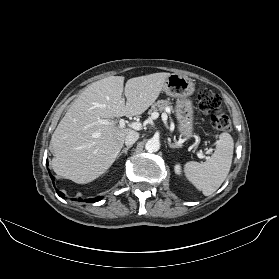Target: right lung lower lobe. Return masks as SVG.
<instances>
[{"label":"right lung lower lobe","mask_w":279,"mask_h":279,"mask_svg":"<svg viewBox=\"0 0 279 279\" xmlns=\"http://www.w3.org/2000/svg\"><path fill=\"white\" fill-rule=\"evenodd\" d=\"M47 165H48V162L46 163ZM50 174V173H49ZM50 177H51V179L52 180H54V177L50 174ZM57 191V194L60 196V197H64V194L62 193V192H60V191H58V190H56ZM102 199V197L101 196H98V197H96V198H90V199H87V200H85V202H91V203H93V202H97V201H99V200H101ZM79 200H81V199H79Z\"/></svg>","instance_id":"98d812e1"}]
</instances>
